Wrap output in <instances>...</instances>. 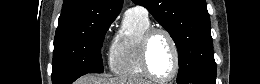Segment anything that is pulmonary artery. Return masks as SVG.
I'll return each mask as SVG.
<instances>
[{
    "mask_svg": "<svg viewBox=\"0 0 260 84\" xmlns=\"http://www.w3.org/2000/svg\"><path fill=\"white\" fill-rule=\"evenodd\" d=\"M129 10H140V11H142L145 15H148L147 10L144 9V8H142V7H134V8H131V9H129ZM129 10H128V11H129Z\"/></svg>",
    "mask_w": 260,
    "mask_h": 84,
    "instance_id": "pulmonary-artery-1",
    "label": "pulmonary artery"
}]
</instances>
